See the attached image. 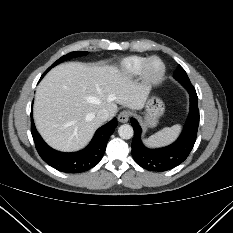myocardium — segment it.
<instances>
[{
  "label": "myocardium",
  "instance_id": "1",
  "mask_svg": "<svg viewBox=\"0 0 233 233\" xmlns=\"http://www.w3.org/2000/svg\"><path fill=\"white\" fill-rule=\"evenodd\" d=\"M153 61H158L161 65L160 70L157 73H152L150 70V64ZM166 72V66L164 62L157 56H151L145 61L143 68L141 70L142 80L146 84H155L162 80Z\"/></svg>",
  "mask_w": 233,
  "mask_h": 233
}]
</instances>
